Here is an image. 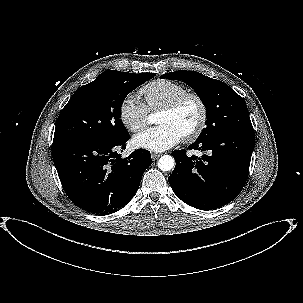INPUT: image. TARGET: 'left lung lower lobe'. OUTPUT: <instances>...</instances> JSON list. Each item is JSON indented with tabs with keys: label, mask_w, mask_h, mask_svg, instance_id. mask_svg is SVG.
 Masks as SVG:
<instances>
[{
	"label": "left lung lower lobe",
	"mask_w": 303,
	"mask_h": 303,
	"mask_svg": "<svg viewBox=\"0 0 303 303\" xmlns=\"http://www.w3.org/2000/svg\"><path fill=\"white\" fill-rule=\"evenodd\" d=\"M253 132H232L196 140L188 148L203 156L175 150V169L168 178L172 190L185 203L212 210L231 202L242 190L254 148Z\"/></svg>",
	"instance_id": "1"
}]
</instances>
